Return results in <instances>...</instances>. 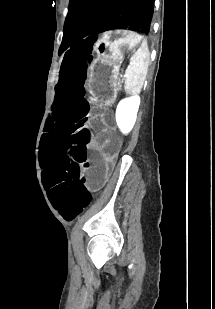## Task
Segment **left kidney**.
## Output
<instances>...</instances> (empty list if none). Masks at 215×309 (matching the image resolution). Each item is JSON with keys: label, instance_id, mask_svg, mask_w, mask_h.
I'll return each mask as SVG.
<instances>
[{"label": "left kidney", "instance_id": "1", "mask_svg": "<svg viewBox=\"0 0 215 309\" xmlns=\"http://www.w3.org/2000/svg\"><path fill=\"white\" fill-rule=\"evenodd\" d=\"M140 104V96H129V98H123L117 104L115 118L118 128H120L123 134H127L132 130Z\"/></svg>", "mask_w": 215, "mask_h": 309}]
</instances>
